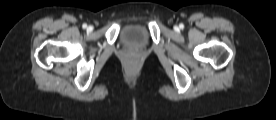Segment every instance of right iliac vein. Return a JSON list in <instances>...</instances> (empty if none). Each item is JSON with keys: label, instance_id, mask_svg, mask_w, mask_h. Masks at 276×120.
<instances>
[{"label": "right iliac vein", "instance_id": "63e3f726", "mask_svg": "<svg viewBox=\"0 0 276 120\" xmlns=\"http://www.w3.org/2000/svg\"><path fill=\"white\" fill-rule=\"evenodd\" d=\"M93 30V27L92 26H89L88 27V31H92Z\"/></svg>", "mask_w": 276, "mask_h": 120}]
</instances>
